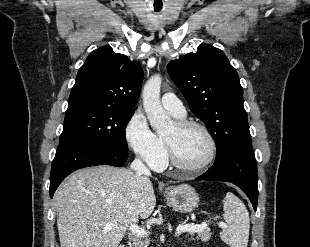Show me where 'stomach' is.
Returning a JSON list of instances; mask_svg holds the SVG:
<instances>
[{
  "label": "stomach",
  "mask_w": 310,
  "mask_h": 247,
  "mask_svg": "<svg viewBox=\"0 0 310 247\" xmlns=\"http://www.w3.org/2000/svg\"><path fill=\"white\" fill-rule=\"evenodd\" d=\"M164 195L175 211L191 212L198 204L197 192L187 184L167 188Z\"/></svg>",
  "instance_id": "stomach-1"
}]
</instances>
